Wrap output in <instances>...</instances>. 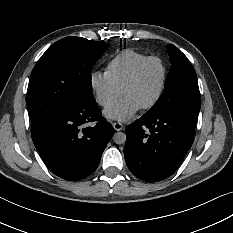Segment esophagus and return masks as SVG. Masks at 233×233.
I'll return each mask as SVG.
<instances>
[{"label":"esophagus","instance_id":"1","mask_svg":"<svg viewBox=\"0 0 233 233\" xmlns=\"http://www.w3.org/2000/svg\"><path fill=\"white\" fill-rule=\"evenodd\" d=\"M113 127H114V129H115L116 131H120V130L123 129V125H122L120 122H115V123L113 124Z\"/></svg>","mask_w":233,"mask_h":233}]
</instances>
